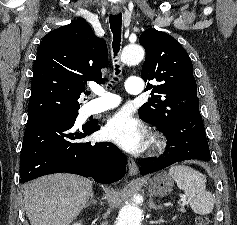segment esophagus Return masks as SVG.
Returning <instances> with one entry per match:
<instances>
[{
  "label": "esophagus",
  "mask_w": 237,
  "mask_h": 225,
  "mask_svg": "<svg viewBox=\"0 0 237 225\" xmlns=\"http://www.w3.org/2000/svg\"><path fill=\"white\" fill-rule=\"evenodd\" d=\"M113 14H118L119 10L118 9H112ZM127 164H128V171L131 176H134L138 173V167L136 162L132 158L127 159Z\"/></svg>",
  "instance_id": "1"
}]
</instances>
